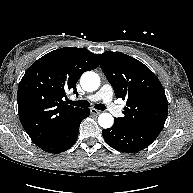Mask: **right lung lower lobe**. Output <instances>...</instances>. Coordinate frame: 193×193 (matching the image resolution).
<instances>
[{"label": "right lung lower lobe", "mask_w": 193, "mask_h": 193, "mask_svg": "<svg viewBox=\"0 0 193 193\" xmlns=\"http://www.w3.org/2000/svg\"><path fill=\"white\" fill-rule=\"evenodd\" d=\"M90 115L89 109H82L66 126L46 143L38 146L49 153H60L71 148L78 138L81 121Z\"/></svg>", "instance_id": "obj_1"}]
</instances>
